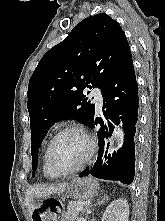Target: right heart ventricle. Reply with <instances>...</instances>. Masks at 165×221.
Returning <instances> with one entry per match:
<instances>
[{"mask_svg": "<svg viewBox=\"0 0 165 221\" xmlns=\"http://www.w3.org/2000/svg\"><path fill=\"white\" fill-rule=\"evenodd\" d=\"M42 172L44 176L49 177V178H54L58 176L55 173H53L48 167V164L46 161V149L44 150L43 157H42Z\"/></svg>", "mask_w": 165, "mask_h": 221, "instance_id": "1", "label": "right heart ventricle"}]
</instances>
